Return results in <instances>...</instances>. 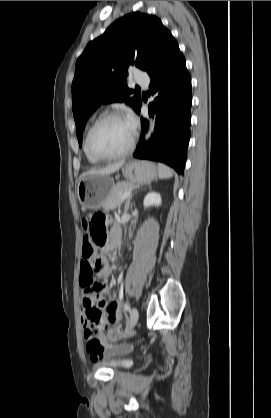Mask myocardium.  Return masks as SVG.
Instances as JSON below:
<instances>
[{"instance_id":"myocardium-1","label":"myocardium","mask_w":271,"mask_h":418,"mask_svg":"<svg viewBox=\"0 0 271 418\" xmlns=\"http://www.w3.org/2000/svg\"><path fill=\"white\" fill-rule=\"evenodd\" d=\"M118 118H124V116L119 112H107L101 115L89 128L86 138H85V144L88 152L96 159L98 160H111V159H117L126 156L129 154L132 149L134 148L135 141H136V133L133 131L132 137L130 139L129 144L125 149H123L120 152L113 153V154H101L94 150L91 144V137L94 132V130L104 121L109 119H118Z\"/></svg>"}]
</instances>
